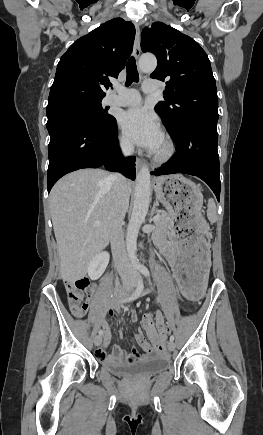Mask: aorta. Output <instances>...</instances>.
Instances as JSON below:
<instances>
[{"mask_svg":"<svg viewBox=\"0 0 263 435\" xmlns=\"http://www.w3.org/2000/svg\"><path fill=\"white\" fill-rule=\"evenodd\" d=\"M157 60L154 55H143L139 59V69L144 73L154 71ZM151 175L148 167L142 166L136 177L134 204L127 227L126 250L132 266L137 269V238L139 229L145 220L151 199Z\"/></svg>","mask_w":263,"mask_h":435,"instance_id":"762f6f07","label":"aorta"}]
</instances>
